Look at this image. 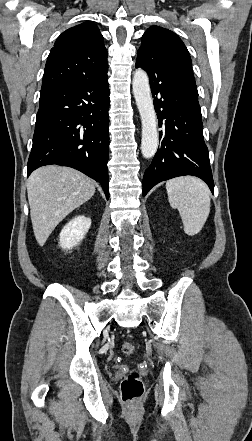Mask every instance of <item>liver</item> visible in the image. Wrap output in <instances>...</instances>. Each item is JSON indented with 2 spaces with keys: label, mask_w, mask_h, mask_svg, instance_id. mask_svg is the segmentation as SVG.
Returning a JSON list of instances; mask_svg holds the SVG:
<instances>
[{
  "label": "liver",
  "mask_w": 252,
  "mask_h": 441,
  "mask_svg": "<svg viewBox=\"0 0 252 441\" xmlns=\"http://www.w3.org/2000/svg\"><path fill=\"white\" fill-rule=\"evenodd\" d=\"M94 193V182L75 169L48 165L35 170L27 194L37 243L43 246L55 227Z\"/></svg>",
  "instance_id": "obj_1"
}]
</instances>
